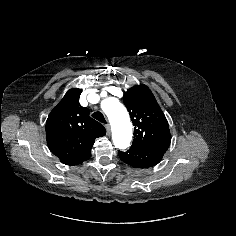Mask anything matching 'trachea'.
Wrapping results in <instances>:
<instances>
[{
	"mask_svg": "<svg viewBox=\"0 0 236 236\" xmlns=\"http://www.w3.org/2000/svg\"><path fill=\"white\" fill-rule=\"evenodd\" d=\"M92 117H93L94 119L98 120V121L101 122V123H104V124L107 123L106 120H105L104 115H103L101 112H99V111L94 112V113L92 114Z\"/></svg>",
	"mask_w": 236,
	"mask_h": 236,
	"instance_id": "trachea-1",
	"label": "trachea"
}]
</instances>
